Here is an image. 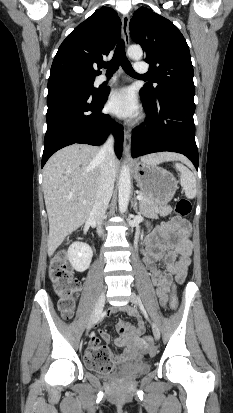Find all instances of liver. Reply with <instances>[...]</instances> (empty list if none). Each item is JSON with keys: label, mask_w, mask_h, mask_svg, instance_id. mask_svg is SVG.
Instances as JSON below:
<instances>
[{"label": "liver", "mask_w": 233, "mask_h": 413, "mask_svg": "<svg viewBox=\"0 0 233 413\" xmlns=\"http://www.w3.org/2000/svg\"><path fill=\"white\" fill-rule=\"evenodd\" d=\"M100 149L73 144L56 152L43 169V192L49 219L48 256L89 217L99 188L102 159ZM181 160V155L163 152L141 158L150 165ZM119 162L115 161V170ZM83 202H86L85 204Z\"/></svg>", "instance_id": "6515ba94"}]
</instances>
